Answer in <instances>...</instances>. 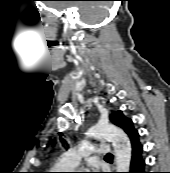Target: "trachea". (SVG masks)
Returning <instances> with one entry per match:
<instances>
[{
	"instance_id": "1",
	"label": "trachea",
	"mask_w": 170,
	"mask_h": 173,
	"mask_svg": "<svg viewBox=\"0 0 170 173\" xmlns=\"http://www.w3.org/2000/svg\"><path fill=\"white\" fill-rule=\"evenodd\" d=\"M112 157H113L112 154H107V155L105 156V158H112Z\"/></svg>"
}]
</instances>
